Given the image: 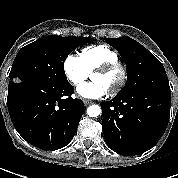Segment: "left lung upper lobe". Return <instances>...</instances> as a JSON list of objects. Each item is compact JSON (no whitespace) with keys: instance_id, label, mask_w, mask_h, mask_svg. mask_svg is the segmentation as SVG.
I'll return each mask as SVG.
<instances>
[{"instance_id":"5c2ea615","label":"left lung upper lobe","mask_w":178,"mask_h":178,"mask_svg":"<svg viewBox=\"0 0 178 178\" xmlns=\"http://www.w3.org/2000/svg\"><path fill=\"white\" fill-rule=\"evenodd\" d=\"M126 63L127 82L118 94L134 90L152 89L171 92L162 63L140 43L130 37L106 38Z\"/></svg>"}]
</instances>
